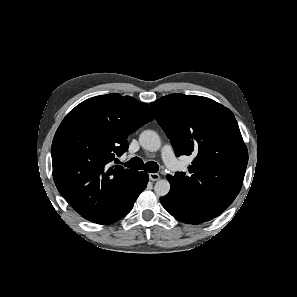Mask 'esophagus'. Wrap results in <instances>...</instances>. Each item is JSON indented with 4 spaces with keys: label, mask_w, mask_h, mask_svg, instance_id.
Listing matches in <instances>:
<instances>
[{
    "label": "esophagus",
    "mask_w": 297,
    "mask_h": 297,
    "mask_svg": "<svg viewBox=\"0 0 297 297\" xmlns=\"http://www.w3.org/2000/svg\"><path fill=\"white\" fill-rule=\"evenodd\" d=\"M149 179L151 181H157L160 179V175L157 173H149Z\"/></svg>",
    "instance_id": "obj_1"
}]
</instances>
